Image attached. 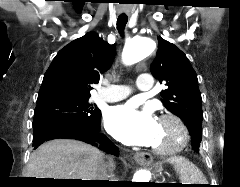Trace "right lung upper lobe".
<instances>
[{
  "label": "right lung upper lobe",
  "instance_id": "1",
  "mask_svg": "<svg viewBox=\"0 0 240 187\" xmlns=\"http://www.w3.org/2000/svg\"><path fill=\"white\" fill-rule=\"evenodd\" d=\"M115 53V46L103 41L95 32L75 39L57 53L47 69L37 105L58 99L90 97V84L99 82L100 74L112 65Z\"/></svg>",
  "mask_w": 240,
  "mask_h": 187
}]
</instances>
